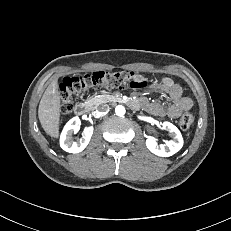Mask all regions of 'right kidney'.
<instances>
[{"mask_svg": "<svg viewBox=\"0 0 231 231\" xmlns=\"http://www.w3.org/2000/svg\"><path fill=\"white\" fill-rule=\"evenodd\" d=\"M79 125V118L74 117L70 119L64 126L60 136V146L64 151L69 153H79L83 151L90 142L91 136L93 134V127L85 128L82 133V137L78 142L73 140L72 135L79 129Z\"/></svg>", "mask_w": 231, "mask_h": 231, "instance_id": "1", "label": "right kidney"}]
</instances>
